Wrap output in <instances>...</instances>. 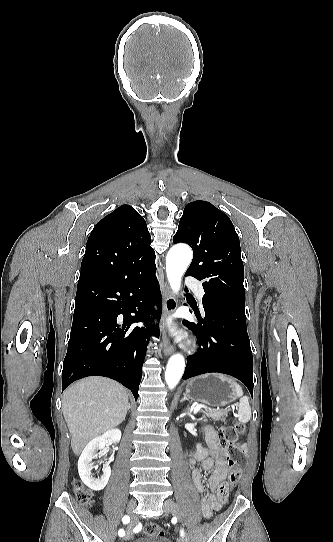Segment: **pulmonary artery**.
Listing matches in <instances>:
<instances>
[{
    "label": "pulmonary artery",
    "instance_id": "e3ab8cb5",
    "mask_svg": "<svg viewBox=\"0 0 333 542\" xmlns=\"http://www.w3.org/2000/svg\"><path fill=\"white\" fill-rule=\"evenodd\" d=\"M186 286L187 287H191V289L194 291V294L196 296H199L198 299H199V302L202 303V294H203V289H202V284L199 282V281H195V276L194 275H188L187 276V281H186Z\"/></svg>",
    "mask_w": 333,
    "mask_h": 542
}]
</instances>
